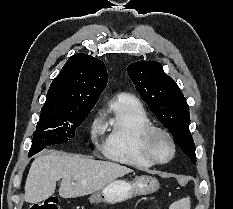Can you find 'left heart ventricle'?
Returning a JSON list of instances; mask_svg holds the SVG:
<instances>
[{
  "mask_svg": "<svg viewBox=\"0 0 233 209\" xmlns=\"http://www.w3.org/2000/svg\"><path fill=\"white\" fill-rule=\"evenodd\" d=\"M153 151L155 155L161 159L166 160L171 154V146L166 137L163 135H158L152 144Z\"/></svg>",
  "mask_w": 233,
  "mask_h": 209,
  "instance_id": "b2bd125f",
  "label": "left heart ventricle"
}]
</instances>
